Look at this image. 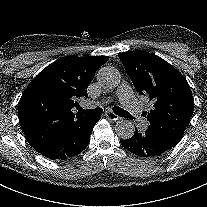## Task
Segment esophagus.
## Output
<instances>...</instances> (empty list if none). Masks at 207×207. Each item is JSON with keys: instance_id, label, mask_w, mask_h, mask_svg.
<instances>
[{"instance_id": "obj_1", "label": "esophagus", "mask_w": 207, "mask_h": 207, "mask_svg": "<svg viewBox=\"0 0 207 207\" xmlns=\"http://www.w3.org/2000/svg\"><path fill=\"white\" fill-rule=\"evenodd\" d=\"M106 117L110 120L116 121L119 119V116L114 112H107Z\"/></svg>"}]
</instances>
